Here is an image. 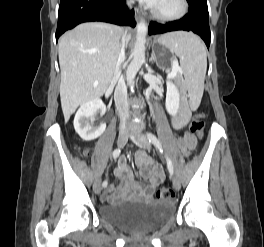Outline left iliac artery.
I'll use <instances>...</instances> for the list:
<instances>
[{
	"instance_id": "obj_1",
	"label": "left iliac artery",
	"mask_w": 264,
	"mask_h": 247,
	"mask_svg": "<svg viewBox=\"0 0 264 247\" xmlns=\"http://www.w3.org/2000/svg\"><path fill=\"white\" fill-rule=\"evenodd\" d=\"M147 138H148L149 142H151L155 147H157L160 150V152L163 153L162 145H161L160 141L158 140V138L154 134L148 132ZM166 161H167V168L169 170V173H170V175H173L174 168H173L172 162L168 157H166Z\"/></svg>"
}]
</instances>
